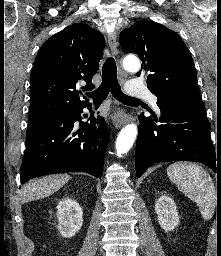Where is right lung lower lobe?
Listing matches in <instances>:
<instances>
[{
  "mask_svg": "<svg viewBox=\"0 0 221 256\" xmlns=\"http://www.w3.org/2000/svg\"><path fill=\"white\" fill-rule=\"evenodd\" d=\"M90 104L49 117L29 126L21 165V183L31 178L63 172H86L101 178L109 141L103 117L81 122V132H73L83 108ZM94 123L99 124L96 128Z\"/></svg>",
  "mask_w": 221,
  "mask_h": 256,
  "instance_id": "1",
  "label": "right lung lower lobe"
}]
</instances>
